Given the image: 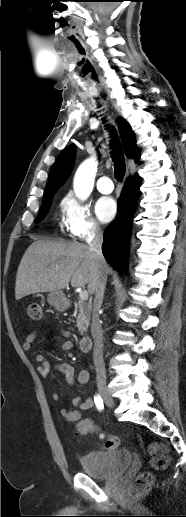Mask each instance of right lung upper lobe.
I'll use <instances>...</instances> for the list:
<instances>
[{
    "mask_svg": "<svg viewBox=\"0 0 186 517\" xmlns=\"http://www.w3.org/2000/svg\"><path fill=\"white\" fill-rule=\"evenodd\" d=\"M119 130L122 137L125 153L129 158L139 157L136 147L135 134L130 125L123 118L118 120ZM75 156V148L73 145L66 147L52 166L49 180L45 188L44 196L56 192L64 180L69 176Z\"/></svg>",
    "mask_w": 186,
    "mask_h": 517,
    "instance_id": "right-lung-upper-lobe-1",
    "label": "right lung upper lobe"
}]
</instances>
